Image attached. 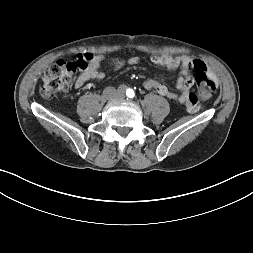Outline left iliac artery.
<instances>
[{
  "instance_id": "44dca946",
  "label": "left iliac artery",
  "mask_w": 253,
  "mask_h": 253,
  "mask_svg": "<svg viewBox=\"0 0 253 253\" xmlns=\"http://www.w3.org/2000/svg\"><path fill=\"white\" fill-rule=\"evenodd\" d=\"M126 95L129 97V98H133L135 96V93L132 89H127L126 90Z\"/></svg>"
}]
</instances>
